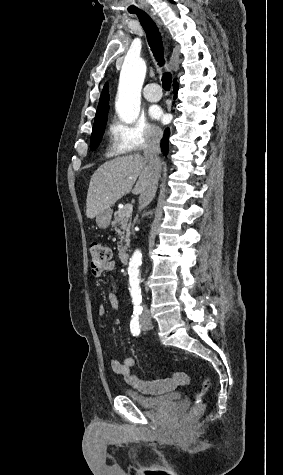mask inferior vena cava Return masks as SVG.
<instances>
[{
	"label": "inferior vena cava",
	"mask_w": 283,
	"mask_h": 475,
	"mask_svg": "<svg viewBox=\"0 0 283 475\" xmlns=\"http://www.w3.org/2000/svg\"><path fill=\"white\" fill-rule=\"evenodd\" d=\"M162 132H147V146L144 150V160L147 162V166L144 170L145 174H148L149 180L146 186L145 194H141L139 198V210L148 206L155 198L158 180L160 178V172L162 168L159 154H161L160 142L162 140ZM144 311H148L144 305Z\"/></svg>",
	"instance_id": "1"
}]
</instances>
